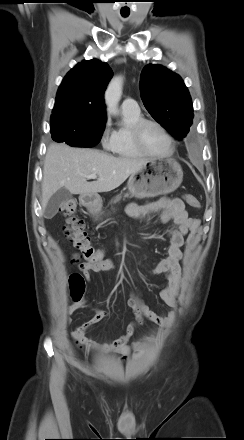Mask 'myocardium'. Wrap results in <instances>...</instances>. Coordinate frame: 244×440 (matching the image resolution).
I'll use <instances>...</instances> for the list:
<instances>
[{"instance_id": "1", "label": "myocardium", "mask_w": 244, "mask_h": 440, "mask_svg": "<svg viewBox=\"0 0 244 440\" xmlns=\"http://www.w3.org/2000/svg\"><path fill=\"white\" fill-rule=\"evenodd\" d=\"M147 125H154L164 133V135L167 137L169 144H170V149L168 152H166L164 154H153L145 148L144 143H143V139H142V132H143V129ZM130 136H131V140H132L134 146L144 155L151 156V157H163V156H169L175 151V140H174L173 136L171 135V133L168 131V129L165 126H163L161 123H159L156 120L147 119V118L139 119L138 121H136L135 123H133L131 125Z\"/></svg>"}]
</instances>
